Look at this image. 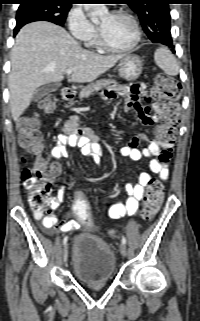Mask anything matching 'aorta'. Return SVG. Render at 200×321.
<instances>
[{"instance_id": "aorta-1", "label": "aorta", "mask_w": 200, "mask_h": 321, "mask_svg": "<svg viewBox=\"0 0 200 321\" xmlns=\"http://www.w3.org/2000/svg\"><path fill=\"white\" fill-rule=\"evenodd\" d=\"M93 22L98 21L100 18L108 13L105 4H85Z\"/></svg>"}]
</instances>
